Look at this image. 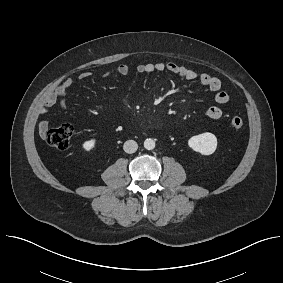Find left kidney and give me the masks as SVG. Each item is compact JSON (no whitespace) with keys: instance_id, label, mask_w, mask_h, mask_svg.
<instances>
[{"instance_id":"obj_1","label":"left kidney","mask_w":283,"mask_h":283,"mask_svg":"<svg viewBox=\"0 0 283 283\" xmlns=\"http://www.w3.org/2000/svg\"><path fill=\"white\" fill-rule=\"evenodd\" d=\"M188 145L194 151L202 155H211L217 148V138L210 132L192 136L188 140Z\"/></svg>"}]
</instances>
